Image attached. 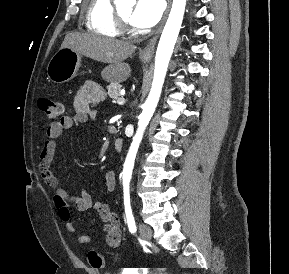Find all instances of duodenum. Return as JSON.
<instances>
[{
	"label": "duodenum",
	"mask_w": 289,
	"mask_h": 274,
	"mask_svg": "<svg viewBox=\"0 0 289 274\" xmlns=\"http://www.w3.org/2000/svg\"><path fill=\"white\" fill-rule=\"evenodd\" d=\"M114 148L116 151L120 152L123 148V139H121V138L115 139Z\"/></svg>",
	"instance_id": "1"
}]
</instances>
